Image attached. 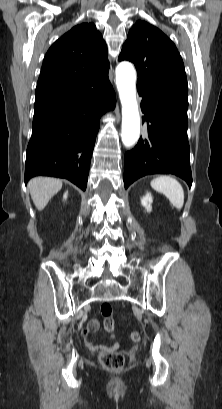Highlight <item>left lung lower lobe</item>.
I'll list each match as a JSON object with an SVG mask.
<instances>
[{"mask_svg":"<svg viewBox=\"0 0 222 409\" xmlns=\"http://www.w3.org/2000/svg\"><path fill=\"white\" fill-rule=\"evenodd\" d=\"M142 97V112L145 114L142 122H149L148 137H141L135 148L124 156L125 188L142 176L157 173L175 174L191 186L188 102Z\"/></svg>","mask_w":222,"mask_h":409,"instance_id":"obj_1","label":"left lung lower lobe"}]
</instances>
